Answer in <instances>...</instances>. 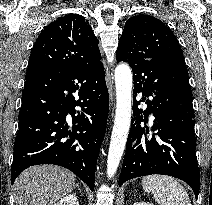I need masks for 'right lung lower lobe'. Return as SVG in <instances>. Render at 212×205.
<instances>
[{
    "label": "right lung lower lobe",
    "instance_id": "right-lung-lower-lobe-1",
    "mask_svg": "<svg viewBox=\"0 0 212 205\" xmlns=\"http://www.w3.org/2000/svg\"><path fill=\"white\" fill-rule=\"evenodd\" d=\"M108 108L103 66L46 72L26 79L11 183L30 166L55 164L74 172L93 191ZM67 115L72 120L67 122Z\"/></svg>",
    "mask_w": 212,
    "mask_h": 205
}]
</instances>
